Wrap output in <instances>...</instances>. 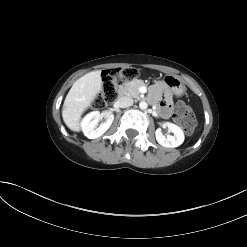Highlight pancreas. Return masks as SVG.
<instances>
[{
	"instance_id": "1",
	"label": "pancreas",
	"mask_w": 247,
	"mask_h": 247,
	"mask_svg": "<svg viewBox=\"0 0 247 247\" xmlns=\"http://www.w3.org/2000/svg\"><path fill=\"white\" fill-rule=\"evenodd\" d=\"M144 85V82L142 80H132L130 82H126L124 84H122L118 90V92L121 94V95H128V96H132L134 98H137L139 99V97L141 96L140 95V92H139V88L141 86Z\"/></svg>"
}]
</instances>
